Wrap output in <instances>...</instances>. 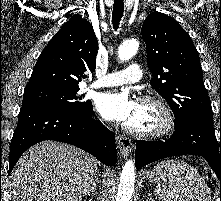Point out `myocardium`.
Returning <instances> with one entry per match:
<instances>
[{
  "label": "myocardium",
  "mask_w": 221,
  "mask_h": 201,
  "mask_svg": "<svg viewBox=\"0 0 221 201\" xmlns=\"http://www.w3.org/2000/svg\"><path fill=\"white\" fill-rule=\"evenodd\" d=\"M138 104H150L154 106L160 115V124L158 127L150 130H142L134 128L128 124L124 125V129L135 136L143 138H160L172 132L175 125L174 115L168 104L159 96L142 95L137 100Z\"/></svg>",
  "instance_id": "myocardium-1"
}]
</instances>
